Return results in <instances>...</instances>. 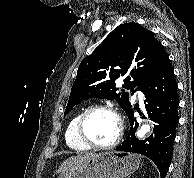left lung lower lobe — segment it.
I'll return each mask as SVG.
<instances>
[{
	"label": "left lung lower lobe",
	"mask_w": 194,
	"mask_h": 178,
	"mask_svg": "<svg viewBox=\"0 0 194 178\" xmlns=\"http://www.w3.org/2000/svg\"><path fill=\"white\" fill-rule=\"evenodd\" d=\"M177 87L174 70L168 58L152 77L137 88L146 96L145 107L149 118L155 123L154 134L143 141L135 137L138 123L134 118L136 108L133 109L131 106L126 111L130 121V132L124 142L115 148L118 151L147 156L158 167L161 178H165L173 154L179 119Z\"/></svg>",
	"instance_id": "0a47b994"
}]
</instances>
